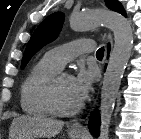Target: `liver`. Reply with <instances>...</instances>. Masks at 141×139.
I'll return each mask as SVG.
<instances>
[{
	"label": "liver",
	"mask_w": 141,
	"mask_h": 139,
	"mask_svg": "<svg viewBox=\"0 0 141 139\" xmlns=\"http://www.w3.org/2000/svg\"><path fill=\"white\" fill-rule=\"evenodd\" d=\"M64 122L42 115H23L13 119L10 127L11 139H37L57 135Z\"/></svg>",
	"instance_id": "obj_1"
}]
</instances>
